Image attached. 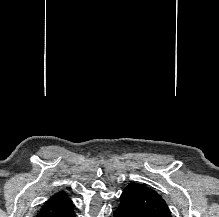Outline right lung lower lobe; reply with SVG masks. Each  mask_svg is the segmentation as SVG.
Masks as SVG:
<instances>
[{"instance_id": "98d812e1", "label": "right lung lower lobe", "mask_w": 219, "mask_h": 217, "mask_svg": "<svg viewBox=\"0 0 219 217\" xmlns=\"http://www.w3.org/2000/svg\"><path fill=\"white\" fill-rule=\"evenodd\" d=\"M53 217H75V214L73 212V209L69 210V211H66L60 215H56V216H53Z\"/></svg>"}]
</instances>
